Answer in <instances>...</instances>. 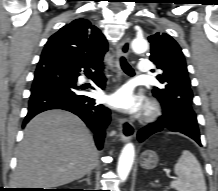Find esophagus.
<instances>
[{"label":"esophagus","instance_id":"34e87169","mask_svg":"<svg viewBox=\"0 0 218 191\" xmlns=\"http://www.w3.org/2000/svg\"><path fill=\"white\" fill-rule=\"evenodd\" d=\"M130 53V39L125 38L117 45V57L114 62V67L116 71V77L119 81L121 78V64H120V57H127ZM135 127L134 125L125 118H120L119 120V136L122 142H126L132 139L135 135Z\"/></svg>","mask_w":218,"mask_h":191}]
</instances>
